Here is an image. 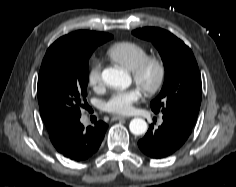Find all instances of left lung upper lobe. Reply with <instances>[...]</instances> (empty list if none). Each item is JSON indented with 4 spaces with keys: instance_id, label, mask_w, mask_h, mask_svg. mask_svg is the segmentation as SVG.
<instances>
[{
    "instance_id": "obj_1",
    "label": "left lung upper lobe",
    "mask_w": 236,
    "mask_h": 187,
    "mask_svg": "<svg viewBox=\"0 0 236 187\" xmlns=\"http://www.w3.org/2000/svg\"><path fill=\"white\" fill-rule=\"evenodd\" d=\"M135 36L151 41L158 49L165 68L160 94L150 103L151 109L175 117L193 126L199 113L202 90L197 62L190 48L179 38L161 28L134 30Z\"/></svg>"
}]
</instances>
